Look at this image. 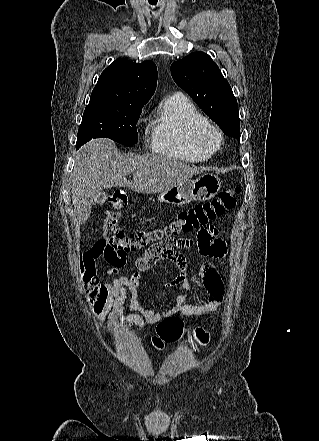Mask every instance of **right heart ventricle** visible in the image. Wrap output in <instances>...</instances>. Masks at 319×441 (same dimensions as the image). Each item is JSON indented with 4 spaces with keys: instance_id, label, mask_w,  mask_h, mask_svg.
I'll use <instances>...</instances> for the list:
<instances>
[{
    "instance_id": "obj_1",
    "label": "right heart ventricle",
    "mask_w": 319,
    "mask_h": 441,
    "mask_svg": "<svg viewBox=\"0 0 319 441\" xmlns=\"http://www.w3.org/2000/svg\"><path fill=\"white\" fill-rule=\"evenodd\" d=\"M209 124L207 117L185 96L166 99L149 126L151 150L159 155L202 162L215 152L200 142V131Z\"/></svg>"
}]
</instances>
